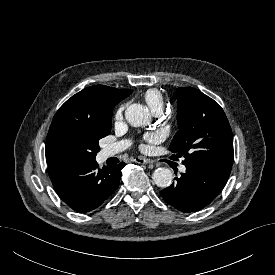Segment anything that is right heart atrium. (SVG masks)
<instances>
[{
    "label": "right heart atrium",
    "instance_id": "right-heart-atrium-1",
    "mask_svg": "<svg viewBox=\"0 0 275 275\" xmlns=\"http://www.w3.org/2000/svg\"><path fill=\"white\" fill-rule=\"evenodd\" d=\"M124 107H120L116 113V120L120 121L122 119Z\"/></svg>",
    "mask_w": 275,
    "mask_h": 275
}]
</instances>
